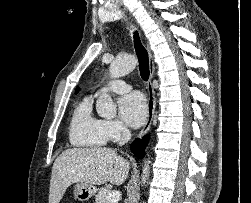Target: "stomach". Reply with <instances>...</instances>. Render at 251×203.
I'll return each instance as SVG.
<instances>
[{
	"mask_svg": "<svg viewBox=\"0 0 251 203\" xmlns=\"http://www.w3.org/2000/svg\"><path fill=\"white\" fill-rule=\"evenodd\" d=\"M97 192V188L91 184L79 182L75 185L74 195L80 201H87Z\"/></svg>",
	"mask_w": 251,
	"mask_h": 203,
	"instance_id": "obj_1",
	"label": "stomach"
}]
</instances>
